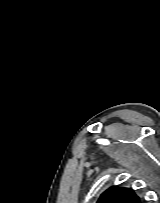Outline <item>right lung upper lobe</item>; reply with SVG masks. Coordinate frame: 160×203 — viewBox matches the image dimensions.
I'll list each match as a JSON object with an SVG mask.
<instances>
[{"label":"right lung upper lobe","instance_id":"right-lung-upper-lobe-1","mask_svg":"<svg viewBox=\"0 0 160 203\" xmlns=\"http://www.w3.org/2000/svg\"><path fill=\"white\" fill-rule=\"evenodd\" d=\"M97 203H141V201L129 188L112 187L100 196Z\"/></svg>","mask_w":160,"mask_h":203}]
</instances>
